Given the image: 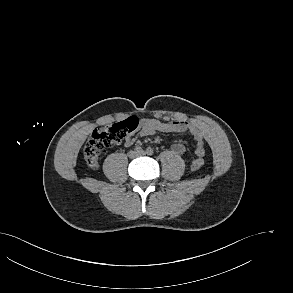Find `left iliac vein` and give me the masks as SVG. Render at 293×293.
I'll use <instances>...</instances> for the list:
<instances>
[{
  "label": "left iliac vein",
  "instance_id": "4c4485c4",
  "mask_svg": "<svg viewBox=\"0 0 293 293\" xmlns=\"http://www.w3.org/2000/svg\"><path fill=\"white\" fill-rule=\"evenodd\" d=\"M146 153L144 151H141L138 153V155H145Z\"/></svg>",
  "mask_w": 293,
  "mask_h": 293
}]
</instances>
